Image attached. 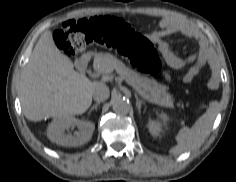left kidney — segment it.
I'll list each match as a JSON object with an SVG mask.
<instances>
[{"label":"left kidney","mask_w":236,"mask_h":182,"mask_svg":"<svg viewBox=\"0 0 236 182\" xmlns=\"http://www.w3.org/2000/svg\"><path fill=\"white\" fill-rule=\"evenodd\" d=\"M161 120L165 123L168 120V117L164 114L161 116ZM148 129L153 137H157L162 131V124L157 121L150 120L148 123Z\"/></svg>","instance_id":"left-kidney-1"}]
</instances>
